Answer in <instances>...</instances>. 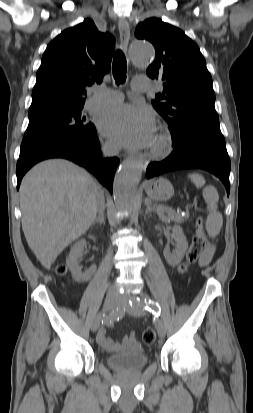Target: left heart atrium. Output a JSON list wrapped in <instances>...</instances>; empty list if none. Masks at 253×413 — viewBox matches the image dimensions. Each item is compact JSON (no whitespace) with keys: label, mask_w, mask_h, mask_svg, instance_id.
I'll list each match as a JSON object with an SVG mask.
<instances>
[{"label":"left heart atrium","mask_w":253,"mask_h":413,"mask_svg":"<svg viewBox=\"0 0 253 413\" xmlns=\"http://www.w3.org/2000/svg\"><path fill=\"white\" fill-rule=\"evenodd\" d=\"M100 131L128 147H144L155 140V121L146 108L119 105L104 112L99 120Z\"/></svg>","instance_id":"39dd6f15"}]
</instances>
